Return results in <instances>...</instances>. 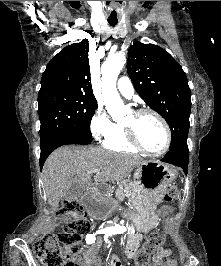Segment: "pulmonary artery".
Listing matches in <instances>:
<instances>
[{
	"label": "pulmonary artery",
	"instance_id": "pulmonary-artery-1",
	"mask_svg": "<svg viewBox=\"0 0 221 266\" xmlns=\"http://www.w3.org/2000/svg\"><path fill=\"white\" fill-rule=\"evenodd\" d=\"M117 89L125 98L128 99L134 94L133 85L130 79L126 76H123L118 80Z\"/></svg>",
	"mask_w": 221,
	"mask_h": 266
}]
</instances>
